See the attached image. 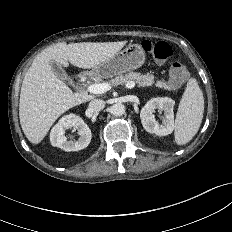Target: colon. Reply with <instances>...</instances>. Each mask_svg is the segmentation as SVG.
<instances>
[{
	"label": "colon",
	"mask_w": 232,
	"mask_h": 232,
	"mask_svg": "<svg viewBox=\"0 0 232 232\" xmlns=\"http://www.w3.org/2000/svg\"><path fill=\"white\" fill-rule=\"evenodd\" d=\"M142 45L144 50L158 61H166L173 54L172 47L165 41L145 40ZM188 77V70L183 64L177 61L172 63L169 78L174 86L183 85L188 80Z\"/></svg>",
	"instance_id": "obj_1"
}]
</instances>
